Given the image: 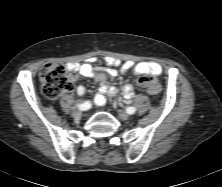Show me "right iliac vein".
I'll return each mask as SVG.
<instances>
[{
	"label": "right iliac vein",
	"instance_id": "obj_1",
	"mask_svg": "<svg viewBox=\"0 0 222 187\" xmlns=\"http://www.w3.org/2000/svg\"><path fill=\"white\" fill-rule=\"evenodd\" d=\"M81 114H82V111L80 109H74L72 111V116L76 119L80 118Z\"/></svg>",
	"mask_w": 222,
	"mask_h": 187
}]
</instances>
